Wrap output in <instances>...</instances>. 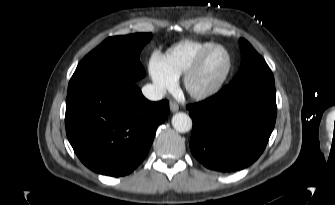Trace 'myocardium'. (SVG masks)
Listing matches in <instances>:
<instances>
[{
    "label": "myocardium",
    "mask_w": 335,
    "mask_h": 205,
    "mask_svg": "<svg viewBox=\"0 0 335 205\" xmlns=\"http://www.w3.org/2000/svg\"><path fill=\"white\" fill-rule=\"evenodd\" d=\"M216 50H222L227 56V66L221 77L210 87L205 89H196L194 87V80L201 72L207 58ZM233 67V59L230 51L223 45L214 44L213 46L204 50L194 61L191 67L184 74L183 85L190 97L196 100H206L215 96L224 86Z\"/></svg>",
    "instance_id": "f54148a6"
}]
</instances>
